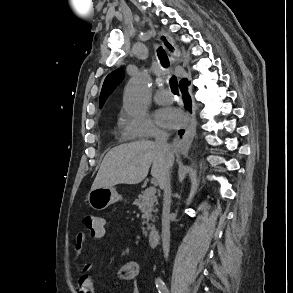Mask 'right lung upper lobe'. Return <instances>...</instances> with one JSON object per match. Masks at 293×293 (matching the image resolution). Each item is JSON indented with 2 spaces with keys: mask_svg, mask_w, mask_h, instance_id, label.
Instances as JSON below:
<instances>
[{
  "mask_svg": "<svg viewBox=\"0 0 293 293\" xmlns=\"http://www.w3.org/2000/svg\"><path fill=\"white\" fill-rule=\"evenodd\" d=\"M162 39L164 40L165 45L169 49H173L172 45L166 40L165 37H162ZM123 77H124V71L121 68L113 71L112 73H110L106 77V79L104 81V84H103V87H102V90H101V94H100V107H102V105L105 102L106 98L114 90L116 85H118L119 82L122 81Z\"/></svg>",
  "mask_w": 293,
  "mask_h": 293,
  "instance_id": "obj_1",
  "label": "right lung upper lobe"
}]
</instances>
